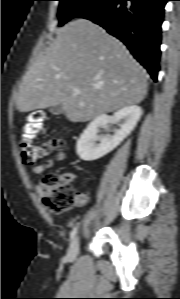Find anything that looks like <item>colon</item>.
Segmentation results:
<instances>
[{"label":"colon","mask_w":180,"mask_h":299,"mask_svg":"<svg viewBox=\"0 0 180 299\" xmlns=\"http://www.w3.org/2000/svg\"><path fill=\"white\" fill-rule=\"evenodd\" d=\"M45 127V114L41 110L31 111L21 127L19 149L22 161L33 165L51 150H63L65 141L60 137L47 139L37 144L34 139ZM46 194L43 203L49 211L57 213L66 211L74 206L77 194L63 176H49L45 179Z\"/></svg>","instance_id":"5ec220e1"}]
</instances>
